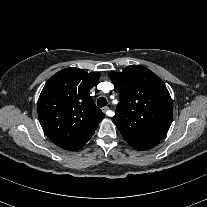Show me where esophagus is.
I'll return each instance as SVG.
<instances>
[{
	"label": "esophagus",
	"instance_id": "obj_1",
	"mask_svg": "<svg viewBox=\"0 0 207 207\" xmlns=\"http://www.w3.org/2000/svg\"><path fill=\"white\" fill-rule=\"evenodd\" d=\"M102 111H103L106 115L110 116V114H109V107H107V106L103 107V108H102Z\"/></svg>",
	"mask_w": 207,
	"mask_h": 207
}]
</instances>
